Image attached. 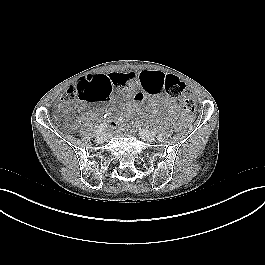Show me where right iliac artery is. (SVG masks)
I'll return each instance as SVG.
<instances>
[{"instance_id": "right-iliac-artery-1", "label": "right iliac artery", "mask_w": 265, "mask_h": 265, "mask_svg": "<svg viewBox=\"0 0 265 265\" xmlns=\"http://www.w3.org/2000/svg\"><path fill=\"white\" fill-rule=\"evenodd\" d=\"M106 127H107V123L104 121V122L101 123V124L98 126V128L96 129V131H95L96 135L101 134V133L105 130Z\"/></svg>"}]
</instances>
